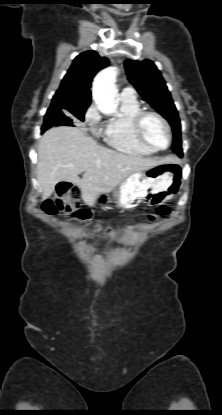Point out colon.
I'll list each match as a JSON object with an SVG mask.
<instances>
[{
  "instance_id": "obj_1",
  "label": "colon",
  "mask_w": 222,
  "mask_h": 415,
  "mask_svg": "<svg viewBox=\"0 0 222 415\" xmlns=\"http://www.w3.org/2000/svg\"><path fill=\"white\" fill-rule=\"evenodd\" d=\"M78 197V189L71 183H59L56 188L55 197L45 203L44 209L50 214L66 213L77 219L86 220L89 218L90 212L88 209L81 207L78 202ZM167 214L168 210L166 208H159L156 214L151 215L149 219L154 220L158 216H165ZM106 231L108 233L111 232L110 229Z\"/></svg>"
}]
</instances>
